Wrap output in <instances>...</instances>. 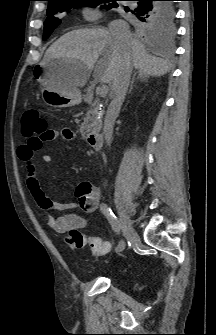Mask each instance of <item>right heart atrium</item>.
<instances>
[{
  "label": "right heart atrium",
  "mask_w": 216,
  "mask_h": 335,
  "mask_svg": "<svg viewBox=\"0 0 216 335\" xmlns=\"http://www.w3.org/2000/svg\"><path fill=\"white\" fill-rule=\"evenodd\" d=\"M83 16L86 20L94 22L99 18V12L94 8H85L83 10Z\"/></svg>",
  "instance_id": "d8ad5b80"
}]
</instances>
